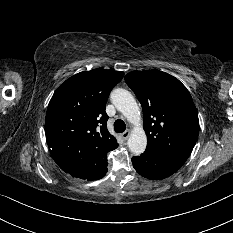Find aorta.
I'll return each mask as SVG.
<instances>
[{
    "label": "aorta",
    "instance_id": "obj_1",
    "mask_svg": "<svg viewBox=\"0 0 233 233\" xmlns=\"http://www.w3.org/2000/svg\"><path fill=\"white\" fill-rule=\"evenodd\" d=\"M111 101L117 110L135 126L128 138L129 150L136 155L142 154L147 146V137L140 126L141 116L136 100L129 91L117 88L111 93Z\"/></svg>",
    "mask_w": 233,
    "mask_h": 233
}]
</instances>
